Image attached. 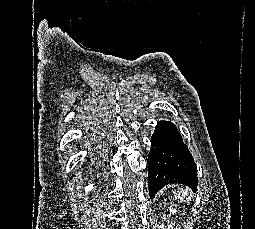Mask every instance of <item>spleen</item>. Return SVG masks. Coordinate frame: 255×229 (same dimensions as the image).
I'll list each match as a JSON object with an SVG mask.
<instances>
[{
    "label": "spleen",
    "mask_w": 255,
    "mask_h": 229,
    "mask_svg": "<svg viewBox=\"0 0 255 229\" xmlns=\"http://www.w3.org/2000/svg\"><path fill=\"white\" fill-rule=\"evenodd\" d=\"M173 193L175 194V197L178 195V199L180 200V202H183V199L189 196L188 188H180V191H178L177 193L176 191H174Z\"/></svg>",
    "instance_id": "obj_1"
}]
</instances>
